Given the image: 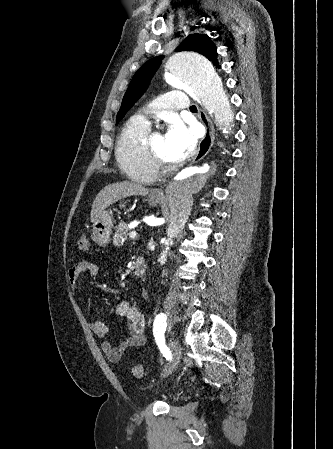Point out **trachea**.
Here are the masks:
<instances>
[{"label": "trachea", "mask_w": 333, "mask_h": 449, "mask_svg": "<svg viewBox=\"0 0 333 449\" xmlns=\"http://www.w3.org/2000/svg\"><path fill=\"white\" fill-rule=\"evenodd\" d=\"M190 111H197L196 106H195V105L191 106V107H190Z\"/></svg>", "instance_id": "trachea-1"}]
</instances>
